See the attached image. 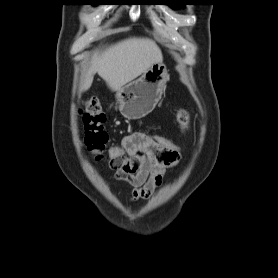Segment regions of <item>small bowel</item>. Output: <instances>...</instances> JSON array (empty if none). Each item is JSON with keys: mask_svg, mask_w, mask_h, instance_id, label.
I'll return each instance as SVG.
<instances>
[{"mask_svg": "<svg viewBox=\"0 0 278 278\" xmlns=\"http://www.w3.org/2000/svg\"><path fill=\"white\" fill-rule=\"evenodd\" d=\"M121 147L123 155L109 160V168L117 181L133 187V201L150 197L161 185L166 171L181 158L165 151L153 137L138 131L125 136Z\"/></svg>", "mask_w": 278, "mask_h": 278, "instance_id": "c3829d8e", "label": "small bowel"}]
</instances>
